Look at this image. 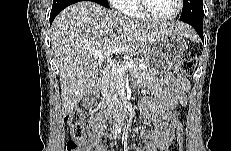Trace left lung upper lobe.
<instances>
[{
    "label": "left lung upper lobe",
    "mask_w": 231,
    "mask_h": 151,
    "mask_svg": "<svg viewBox=\"0 0 231 151\" xmlns=\"http://www.w3.org/2000/svg\"><path fill=\"white\" fill-rule=\"evenodd\" d=\"M195 13L204 14L203 0H183L181 16L189 17Z\"/></svg>",
    "instance_id": "5c2ea615"
}]
</instances>
